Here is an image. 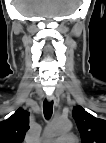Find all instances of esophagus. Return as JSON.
Returning a JSON list of instances; mask_svg holds the SVG:
<instances>
[{"mask_svg":"<svg viewBox=\"0 0 106 143\" xmlns=\"http://www.w3.org/2000/svg\"><path fill=\"white\" fill-rule=\"evenodd\" d=\"M48 101L53 102V104L57 107L59 104V98L55 95H49Z\"/></svg>","mask_w":106,"mask_h":143,"instance_id":"obj_1","label":"esophagus"}]
</instances>
